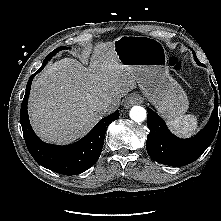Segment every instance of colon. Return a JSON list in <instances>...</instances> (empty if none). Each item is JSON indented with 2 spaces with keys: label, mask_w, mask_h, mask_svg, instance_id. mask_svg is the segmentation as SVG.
Returning a JSON list of instances; mask_svg holds the SVG:
<instances>
[{
  "label": "colon",
  "mask_w": 221,
  "mask_h": 221,
  "mask_svg": "<svg viewBox=\"0 0 221 221\" xmlns=\"http://www.w3.org/2000/svg\"><path fill=\"white\" fill-rule=\"evenodd\" d=\"M170 65L173 67L174 70L179 71L182 68V63L177 58H172L170 61Z\"/></svg>",
  "instance_id": "5ec220e1"
}]
</instances>
